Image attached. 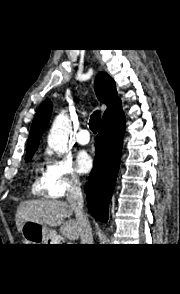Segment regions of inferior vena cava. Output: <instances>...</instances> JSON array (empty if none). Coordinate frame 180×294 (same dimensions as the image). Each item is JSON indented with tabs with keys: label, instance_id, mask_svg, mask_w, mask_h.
<instances>
[{
	"label": "inferior vena cava",
	"instance_id": "obj_1",
	"mask_svg": "<svg viewBox=\"0 0 180 294\" xmlns=\"http://www.w3.org/2000/svg\"><path fill=\"white\" fill-rule=\"evenodd\" d=\"M67 201L72 207L76 221L79 226L81 244H93V235L90 222L83 210V195L81 191V183L78 179L73 178L67 190Z\"/></svg>",
	"mask_w": 180,
	"mask_h": 294
}]
</instances>
